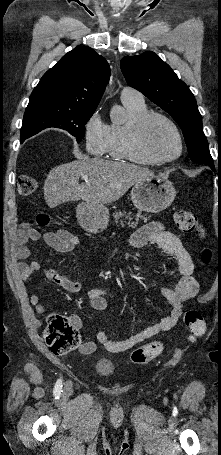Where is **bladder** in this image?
Listing matches in <instances>:
<instances>
[{
	"label": "bladder",
	"instance_id": "obj_1",
	"mask_svg": "<svg viewBox=\"0 0 221 455\" xmlns=\"http://www.w3.org/2000/svg\"><path fill=\"white\" fill-rule=\"evenodd\" d=\"M114 364L109 359H99L95 363V371L103 376H108L114 372Z\"/></svg>",
	"mask_w": 221,
	"mask_h": 455
}]
</instances>
